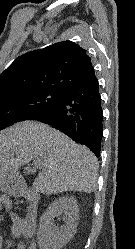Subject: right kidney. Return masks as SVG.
<instances>
[{
  "label": "right kidney",
  "instance_id": "right-kidney-1",
  "mask_svg": "<svg viewBox=\"0 0 135 249\" xmlns=\"http://www.w3.org/2000/svg\"><path fill=\"white\" fill-rule=\"evenodd\" d=\"M79 208L72 196L56 199L40 218L37 233L40 249H61L72 239L77 230ZM62 215L65 225L59 229L54 224V218Z\"/></svg>",
  "mask_w": 135,
  "mask_h": 249
}]
</instances>
